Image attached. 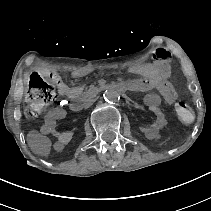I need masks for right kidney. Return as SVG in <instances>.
<instances>
[{
	"label": "right kidney",
	"instance_id": "ca27d5eb",
	"mask_svg": "<svg viewBox=\"0 0 211 211\" xmlns=\"http://www.w3.org/2000/svg\"><path fill=\"white\" fill-rule=\"evenodd\" d=\"M66 118L65 110L61 108L51 109L46 117V124L51 130L54 138L58 139L64 145H69L72 142L71 134L68 131H64L62 126L59 124Z\"/></svg>",
	"mask_w": 211,
	"mask_h": 211
}]
</instances>
